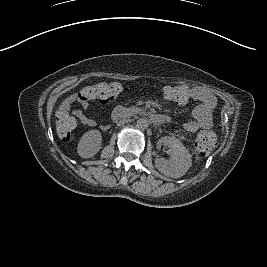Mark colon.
I'll return each instance as SVG.
<instances>
[{
    "label": "colon",
    "mask_w": 267,
    "mask_h": 267,
    "mask_svg": "<svg viewBox=\"0 0 267 267\" xmlns=\"http://www.w3.org/2000/svg\"><path fill=\"white\" fill-rule=\"evenodd\" d=\"M125 87L116 82H101L84 87L78 94L83 103H109L113 102L125 92ZM165 99L177 104L184 103L188 92L179 86H166L162 90ZM76 120L68 112H61L56 117V131L61 139H68L75 128ZM196 150L202 156H208L216 147L215 134L210 130L200 131L196 136Z\"/></svg>",
    "instance_id": "obj_1"
}]
</instances>
